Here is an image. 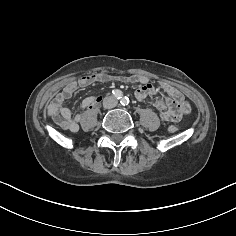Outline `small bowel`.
Instances as JSON below:
<instances>
[{"mask_svg":"<svg viewBox=\"0 0 236 236\" xmlns=\"http://www.w3.org/2000/svg\"><path fill=\"white\" fill-rule=\"evenodd\" d=\"M120 80L128 83H138L140 86L135 91V97L138 101H144L149 95L155 93V88L149 83V79L144 75H131L124 77H115L105 73L90 74L69 82L52 100L48 106V117L57 127L76 131L81 119V113L87 109L98 106L101 96H90L83 100L80 112L72 115V112L63 106L64 102L80 88L87 87L95 82H106L111 80ZM162 89L167 96L155 101L154 106L159 110L160 117L164 121L176 122L181 117L188 115L191 111V105L184 99L179 90L170 84L162 83Z\"/></svg>","mask_w":236,"mask_h":236,"instance_id":"1","label":"small bowel"}]
</instances>
